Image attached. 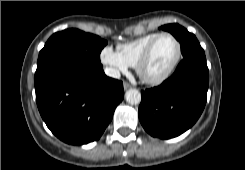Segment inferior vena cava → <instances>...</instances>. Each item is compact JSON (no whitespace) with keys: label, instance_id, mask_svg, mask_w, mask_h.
<instances>
[{"label":"inferior vena cava","instance_id":"602c4592","mask_svg":"<svg viewBox=\"0 0 245 170\" xmlns=\"http://www.w3.org/2000/svg\"><path fill=\"white\" fill-rule=\"evenodd\" d=\"M104 72L107 76L119 79L120 78V72L118 69L112 68V67H106L104 69Z\"/></svg>","mask_w":245,"mask_h":170}]
</instances>
